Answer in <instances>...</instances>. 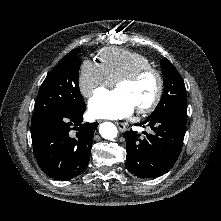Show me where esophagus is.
I'll list each match as a JSON object with an SVG mask.
<instances>
[{
    "label": "esophagus",
    "instance_id": "1",
    "mask_svg": "<svg viewBox=\"0 0 221 221\" xmlns=\"http://www.w3.org/2000/svg\"><path fill=\"white\" fill-rule=\"evenodd\" d=\"M116 125L118 127V129L121 131V132H125L127 130L126 126L124 123H121V122H116Z\"/></svg>",
    "mask_w": 221,
    "mask_h": 221
}]
</instances>
